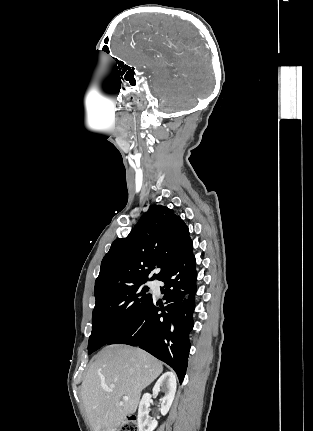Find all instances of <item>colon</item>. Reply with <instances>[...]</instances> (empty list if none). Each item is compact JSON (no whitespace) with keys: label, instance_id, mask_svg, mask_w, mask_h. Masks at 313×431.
I'll list each match as a JSON object with an SVG mask.
<instances>
[{"label":"colon","instance_id":"colon-1","mask_svg":"<svg viewBox=\"0 0 313 431\" xmlns=\"http://www.w3.org/2000/svg\"><path fill=\"white\" fill-rule=\"evenodd\" d=\"M119 431H139L135 417H127L122 423Z\"/></svg>","mask_w":313,"mask_h":431}]
</instances>
